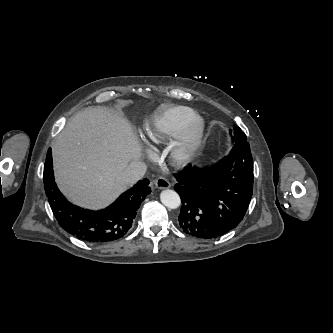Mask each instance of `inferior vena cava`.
I'll use <instances>...</instances> for the list:
<instances>
[{
  "label": "inferior vena cava",
  "instance_id": "602c4592",
  "mask_svg": "<svg viewBox=\"0 0 333 333\" xmlns=\"http://www.w3.org/2000/svg\"><path fill=\"white\" fill-rule=\"evenodd\" d=\"M146 171L147 166L145 163L133 161L122 173V181L125 184H134L144 176Z\"/></svg>",
  "mask_w": 333,
  "mask_h": 333
}]
</instances>
